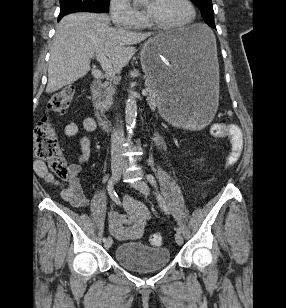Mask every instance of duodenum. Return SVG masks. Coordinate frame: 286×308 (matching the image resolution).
Listing matches in <instances>:
<instances>
[{
	"label": "duodenum",
	"mask_w": 286,
	"mask_h": 308,
	"mask_svg": "<svg viewBox=\"0 0 286 308\" xmlns=\"http://www.w3.org/2000/svg\"><path fill=\"white\" fill-rule=\"evenodd\" d=\"M102 87H103L102 81L97 79V80H94L93 83L91 84L90 91H91L92 99L94 101V109H95V112H96L98 123L103 128H109L110 123L104 117V115L101 113L100 108L98 106V95H99L100 91L102 90Z\"/></svg>",
	"instance_id": "obj_1"
}]
</instances>
